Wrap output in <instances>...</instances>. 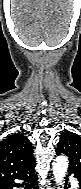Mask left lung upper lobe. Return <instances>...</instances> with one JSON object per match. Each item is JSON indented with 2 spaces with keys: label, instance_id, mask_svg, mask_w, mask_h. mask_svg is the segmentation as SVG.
I'll use <instances>...</instances> for the list:
<instances>
[{
  "label": "left lung upper lobe",
  "instance_id": "obj_1",
  "mask_svg": "<svg viewBox=\"0 0 81 189\" xmlns=\"http://www.w3.org/2000/svg\"><path fill=\"white\" fill-rule=\"evenodd\" d=\"M56 154H65L69 157V174L81 180V135L74 132H66L62 134Z\"/></svg>",
  "mask_w": 81,
  "mask_h": 189
}]
</instances>
